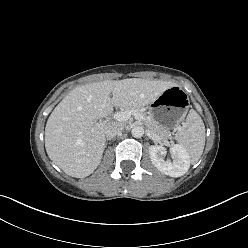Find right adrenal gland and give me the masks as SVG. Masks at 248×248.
<instances>
[{"mask_svg":"<svg viewBox=\"0 0 248 248\" xmlns=\"http://www.w3.org/2000/svg\"><path fill=\"white\" fill-rule=\"evenodd\" d=\"M110 140H111V138H107L105 145H107L108 141H110Z\"/></svg>","mask_w":248,"mask_h":248,"instance_id":"2a0ac1e0","label":"right adrenal gland"}]
</instances>
